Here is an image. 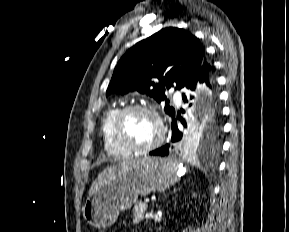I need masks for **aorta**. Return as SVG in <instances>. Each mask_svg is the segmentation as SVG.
<instances>
[{
    "label": "aorta",
    "instance_id": "1",
    "mask_svg": "<svg viewBox=\"0 0 289 232\" xmlns=\"http://www.w3.org/2000/svg\"><path fill=\"white\" fill-rule=\"evenodd\" d=\"M212 109V102H211V97L209 94H206L202 101H201V118L199 121H202L208 113H210Z\"/></svg>",
    "mask_w": 289,
    "mask_h": 232
}]
</instances>
